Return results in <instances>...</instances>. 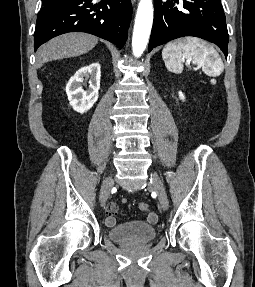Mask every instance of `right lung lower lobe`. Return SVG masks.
I'll use <instances>...</instances> for the list:
<instances>
[{
  "mask_svg": "<svg viewBox=\"0 0 255 287\" xmlns=\"http://www.w3.org/2000/svg\"><path fill=\"white\" fill-rule=\"evenodd\" d=\"M132 16L131 0H52L37 17L34 50L68 32H87L123 48Z\"/></svg>",
  "mask_w": 255,
  "mask_h": 287,
  "instance_id": "1",
  "label": "right lung lower lobe"
}]
</instances>
